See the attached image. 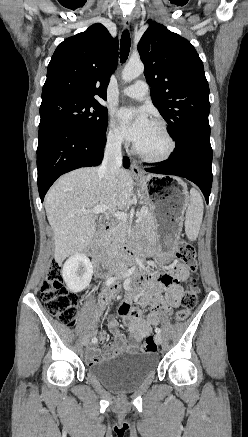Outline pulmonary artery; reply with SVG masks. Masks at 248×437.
Masks as SVG:
<instances>
[{
  "label": "pulmonary artery",
  "instance_id": "1",
  "mask_svg": "<svg viewBox=\"0 0 248 437\" xmlns=\"http://www.w3.org/2000/svg\"><path fill=\"white\" fill-rule=\"evenodd\" d=\"M148 91V84L143 80H138L133 85L125 87L122 94L129 98L142 100L147 96Z\"/></svg>",
  "mask_w": 248,
  "mask_h": 437
}]
</instances>
